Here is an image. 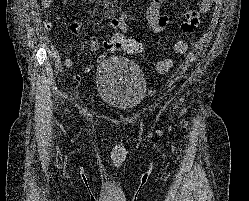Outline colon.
I'll return each mask as SVG.
<instances>
[{
    "label": "colon",
    "mask_w": 249,
    "mask_h": 201,
    "mask_svg": "<svg viewBox=\"0 0 249 201\" xmlns=\"http://www.w3.org/2000/svg\"><path fill=\"white\" fill-rule=\"evenodd\" d=\"M106 51L114 52L116 50H124L132 56H139L143 52V44L139 39L119 37L111 35L103 43ZM187 50V44L184 41H177L172 48L174 55H182ZM173 63L170 59H163L154 64V70L158 74H166L172 69Z\"/></svg>",
    "instance_id": "colon-1"
}]
</instances>
